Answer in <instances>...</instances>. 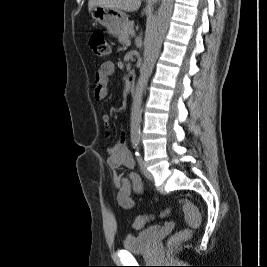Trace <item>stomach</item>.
Wrapping results in <instances>:
<instances>
[{
    "mask_svg": "<svg viewBox=\"0 0 267 267\" xmlns=\"http://www.w3.org/2000/svg\"><path fill=\"white\" fill-rule=\"evenodd\" d=\"M91 16L95 22L105 27L109 34L117 36L128 22L125 13L101 6H95L91 10Z\"/></svg>",
    "mask_w": 267,
    "mask_h": 267,
    "instance_id": "1",
    "label": "stomach"
}]
</instances>
